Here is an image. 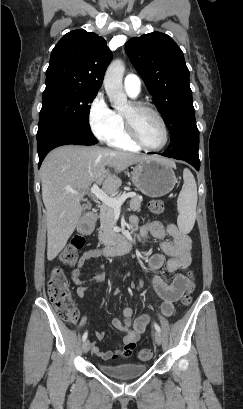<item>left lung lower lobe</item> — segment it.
<instances>
[{
  "label": "left lung lower lobe",
  "mask_w": 243,
  "mask_h": 409,
  "mask_svg": "<svg viewBox=\"0 0 243 409\" xmlns=\"http://www.w3.org/2000/svg\"><path fill=\"white\" fill-rule=\"evenodd\" d=\"M198 148L199 131L196 126L195 117H191L184 122L177 133L176 138L161 155L184 160L191 164L196 170H199L200 160L198 156Z\"/></svg>",
  "instance_id": "0a47b994"
}]
</instances>
